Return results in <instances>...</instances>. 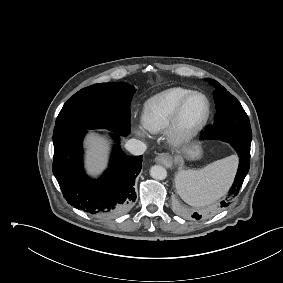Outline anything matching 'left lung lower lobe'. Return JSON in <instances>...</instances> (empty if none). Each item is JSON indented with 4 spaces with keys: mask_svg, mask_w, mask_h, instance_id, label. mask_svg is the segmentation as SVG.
Segmentation results:
<instances>
[{
    "mask_svg": "<svg viewBox=\"0 0 283 283\" xmlns=\"http://www.w3.org/2000/svg\"><path fill=\"white\" fill-rule=\"evenodd\" d=\"M206 132L207 131H205L202 134L201 139H211V138L208 137ZM230 144L236 150V152L239 156V167H238V170H237V174H236L234 183L229 190L228 198L237 195L240 187L243 184L244 178L246 177V175L249 171V167H250V145H244V144H240V143H230ZM228 205H229V203H228V200L226 198L225 200H222L220 202V204L218 205L217 208L221 209V208L226 207ZM192 217L199 220L201 218V215L194 213Z\"/></svg>",
    "mask_w": 283,
    "mask_h": 283,
    "instance_id": "0a47b994",
    "label": "left lung lower lobe"
}]
</instances>
